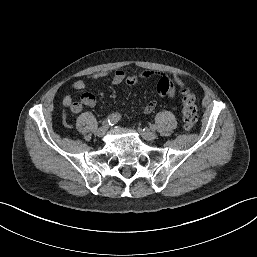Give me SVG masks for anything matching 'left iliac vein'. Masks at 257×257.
Masks as SVG:
<instances>
[{
  "mask_svg": "<svg viewBox=\"0 0 257 257\" xmlns=\"http://www.w3.org/2000/svg\"><path fill=\"white\" fill-rule=\"evenodd\" d=\"M138 132L147 141H153L157 138V134L153 131H150V130L139 128Z\"/></svg>",
  "mask_w": 257,
  "mask_h": 257,
  "instance_id": "obj_1",
  "label": "left iliac vein"
}]
</instances>
